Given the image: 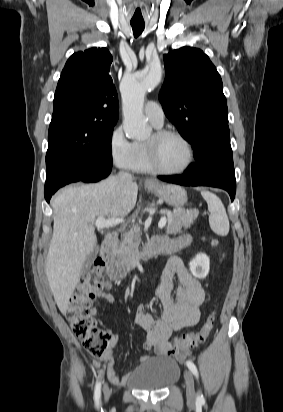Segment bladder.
<instances>
[{
    "label": "bladder",
    "mask_w": 283,
    "mask_h": 412,
    "mask_svg": "<svg viewBox=\"0 0 283 412\" xmlns=\"http://www.w3.org/2000/svg\"><path fill=\"white\" fill-rule=\"evenodd\" d=\"M180 375L178 363L170 358L149 359L127 376L130 387L141 390H162L177 382Z\"/></svg>",
    "instance_id": "31cf9c89"
}]
</instances>
